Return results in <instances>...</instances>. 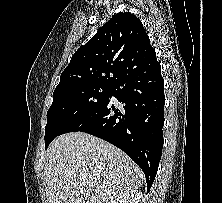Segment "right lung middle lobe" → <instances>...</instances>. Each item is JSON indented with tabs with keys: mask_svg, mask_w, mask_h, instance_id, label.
<instances>
[{
	"mask_svg": "<svg viewBox=\"0 0 222 203\" xmlns=\"http://www.w3.org/2000/svg\"><path fill=\"white\" fill-rule=\"evenodd\" d=\"M110 86L84 85L65 88L53 93V102L47 112L45 147L70 124L92 113L105 103Z\"/></svg>",
	"mask_w": 222,
	"mask_h": 203,
	"instance_id": "dd1d6c3e",
	"label": "right lung middle lobe"
}]
</instances>
